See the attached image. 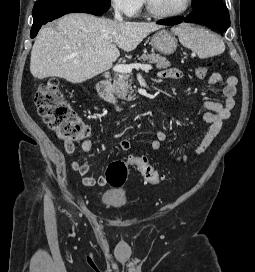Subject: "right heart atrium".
<instances>
[{
	"instance_id": "1",
	"label": "right heart atrium",
	"mask_w": 255,
	"mask_h": 272,
	"mask_svg": "<svg viewBox=\"0 0 255 272\" xmlns=\"http://www.w3.org/2000/svg\"><path fill=\"white\" fill-rule=\"evenodd\" d=\"M143 4V0H111L113 8L128 17L138 14Z\"/></svg>"
}]
</instances>
